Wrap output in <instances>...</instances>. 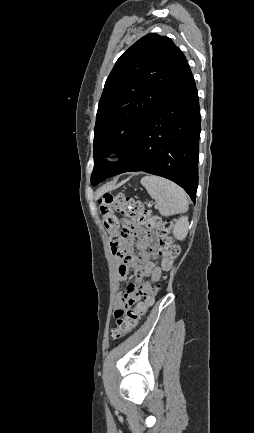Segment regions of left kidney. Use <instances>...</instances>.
I'll list each match as a JSON object with an SVG mask.
<instances>
[{"label": "left kidney", "mask_w": 254, "mask_h": 433, "mask_svg": "<svg viewBox=\"0 0 254 433\" xmlns=\"http://www.w3.org/2000/svg\"><path fill=\"white\" fill-rule=\"evenodd\" d=\"M188 217L182 216L178 220H176V223L173 228V234L178 240H184L187 233H188Z\"/></svg>", "instance_id": "left-kidney-1"}]
</instances>
